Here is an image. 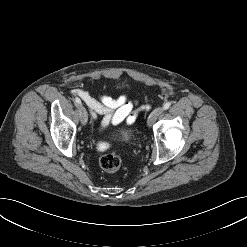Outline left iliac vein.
Wrapping results in <instances>:
<instances>
[{"mask_svg": "<svg viewBox=\"0 0 247 247\" xmlns=\"http://www.w3.org/2000/svg\"><path fill=\"white\" fill-rule=\"evenodd\" d=\"M163 110V107H158L154 109L148 117L147 124L151 126L156 121V119L162 114Z\"/></svg>", "mask_w": 247, "mask_h": 247, "instance_id": "obj_1", "label": "left iliac vein"}]
</instances>
